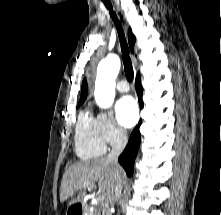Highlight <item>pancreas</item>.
Instances as JSON below:
<instances>
[{
    "instance_id": "cf45deb5",
    "label": "pancreas",
    "mask_w": 221,
    "mask_h": 215,
    "mask_svg": "<svg viewBox=\"0 0 221 215\" xmlns=\"http://www.w3.org/2000/svg\"><path fill=\"white\" fill-rule=\"evenodd\" d=\"M88 215H100V210H97L96 208L89 211Z\"/></svg>"
}]
</instances>
